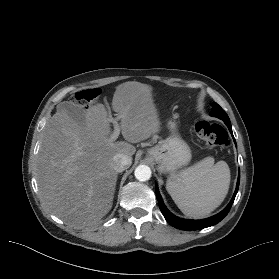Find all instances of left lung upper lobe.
Segmentation results:
<instances>
[{
  "label": "left lung upper lobe",
  "instance_id": "5c2ea615",
  "mask_svg": "<svg viewBox=\"0 0 279 279\" xmlns=\"http://www.w3.org/2000/svg\"><path fill=\"white\" fill-rule=\"evenodd\" d=\"M211 116L217 117L225 122V124L230 123L229 117L226 112L217 104L213 103V110Z\"/></svg>",
  "mask_w": 279,
  "mask_h": 279
}]
</instances>
